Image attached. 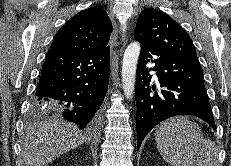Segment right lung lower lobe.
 I'll return each mask as SVG.
<instances>
[{
    "label": "right lung lower lobe",
    "mask_w": 231,
    "mask_h": 166,
    "mask_svg": "<svg viewBox=\"0 0 231 166\" xmlns=\"http://www.w3.org/2000/svg\"><path fill=\"white\" fill-rule=\"evenodd\" d=\"M110 47L89 53L50 49L32 102L34 113L60 115L95 133L108 90Z\"/></svg>",
    "instance_id": "1"
}]
</instances>
